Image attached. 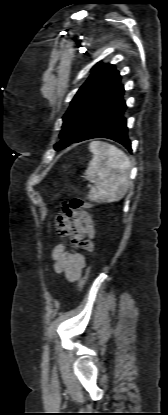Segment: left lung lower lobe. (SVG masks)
Here are the masks:
<instances>
[{
	"instance_id": "obj_1",
	"label": "left lung lower lobe",
	"mask_w": 168,
	"mask_h": 415,
	"mask_svg": "<svg viewBox=\"0 0 168 415\" xmlns=\"http://www.w3.org/2000/svg\"><path fill=\"white\" fill-rule=\"evenodd\" d=\"M123 94L124 91L105 106L76 142L93 138H108L122 144L130 152L132 151L128 138L127 120L124 116L127 106Z\"/></svg>"
}]
</instances>
